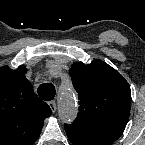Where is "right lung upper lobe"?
Instances as JSON below:
<instances>
[{
	"label": "right lung upper lobe",
	"instance_id": "right-lung-upper-lobe-1",
	"mask_svg": "<svg viewBox=\"0 0 145 145\" xmlns=\"http://www.w3.org/2000/svg\"><path fill=\"white\" fill-rule=\"evenodd\" d=\"M27 69L0 68V145H33L51 109L33 91Z\"/></svg>",
	"mask_w": 145,
	"mask_h": 145
}]
</instances>
